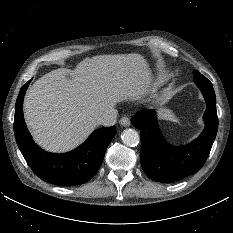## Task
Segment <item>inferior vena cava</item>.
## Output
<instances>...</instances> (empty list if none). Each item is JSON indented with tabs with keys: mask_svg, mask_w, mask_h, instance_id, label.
<instances>
[{
	"mask_svg": "<svg viewBox=\"0 0 233 233\" xmlns=\"http://www.w3.org/2000/svg\"><path fill=\"white\" fill-rule=\"evenodd\" d=\"M117 120V111L115 109H111L104 114H102L97 119V124L103 126H112L116 123Z\"/></svg>",
	"mask_w": 233,
	"mask_h": 233,
	"instance_id": "obj_1",
	"label": "inferior vena cava"
}]
</instances>
